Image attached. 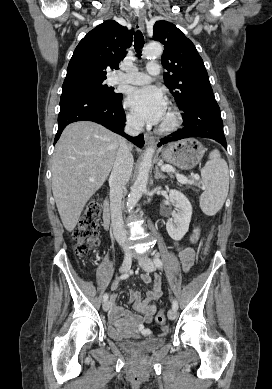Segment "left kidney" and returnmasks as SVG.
<instances>
[{
	"label": "left kidney",
	"mask_w": 272,
	"mask_h": 389,
	"mask_svg": "<svg viewBox=\"0 0 272 389\" xmlns=\"http://www.w3.org/2000/svg\"><path fill=\"white\" fill-rule=\"evenodd\" d=\"M169 198L175 204L176 211L172 212L166 224L169 236L174 240H181L188 232L192 216V205L188 198L178 190L169 191Z\"/></svg>",
	"instance_id": "1"
}]
</instances>
